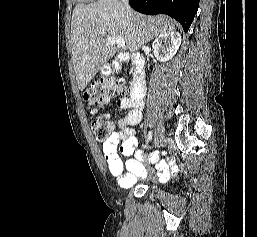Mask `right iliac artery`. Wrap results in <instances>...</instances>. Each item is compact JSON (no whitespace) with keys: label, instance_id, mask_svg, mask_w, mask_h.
I'll return each mask as SVG.
<instances>
[{"label":"right iliac artery","instance_id":"82829eb1","mask_svg":"<svg viewBox=\"0 0 257 237\" xmlns=\"http://www.w3.org/2000/svg\"><path fill=\"white\" fill-rule=\"evenodd\" d=\"M151 140H152V132L149 131L147 141L149 142Z\"/></svg>","mask_w":257,"mask_h":237}]
</instances>
